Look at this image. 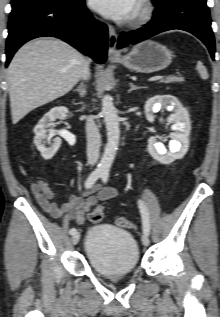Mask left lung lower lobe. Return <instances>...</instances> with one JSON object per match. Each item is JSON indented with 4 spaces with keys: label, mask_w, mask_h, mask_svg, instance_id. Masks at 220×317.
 Masks as SVG:
<instances>
[{
    "label": "left lung lower lobe",
    "mask_w": 220,
    "mask_h": 317,
    "mask_svg": "<svg viewBox=\"0 0 220 317\" xmlns=\"http://www.w3.org/2000/svg\"><path fill=\"white\" fill-rule=\"evenodd\" d=\"M156 10L152 20L143 28L122 33L118 47L140 42L158 33L180 29L198 37L214 59L215 43L206 0H154Z\"/></svg>",
    "instance_id": "obj_1"
}]
</instances>
